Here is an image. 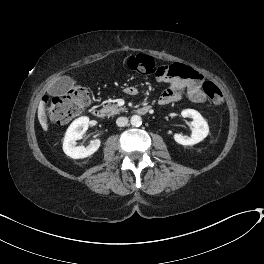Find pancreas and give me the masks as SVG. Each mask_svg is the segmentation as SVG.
<instances>
[{"label":"pancreas","instance_id":"cf45deb5","mask_svg":"<svg viewBox=\"0 0 264 264\" xmlns=\"http://www.w3.org/2000/svg\"><path fill=\"white\" fill-rule=\"evenodd\" d=\"M125 109L124 108H119L117 105H111L108 104L103 108V112L106 113L108 117L117 115L120 112H123Z\"/></svg>","mask_w":264,"mask_h":264}]
</instances>
